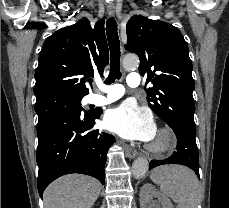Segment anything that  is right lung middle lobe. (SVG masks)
I'll return each instance as SVG.
<instances>
[{
	"mask_svg": "<svg viewBox=\"0 0 229 208\" xmlns=\"http://www.w3.org/2000/svg\"><path fill=\"white\" fill-rule=\"evenodd\" d=\"M82 98L83 97L54 96L36 102L35 111L38 115L37 128L63 112L71 110L81 111Z\"/></svg>",
	"mask_w": 229,
	"mask_h": 208,
	"instance_id": "obj_1",
	"label": "right lung middle lobe"
}]
</instances>
